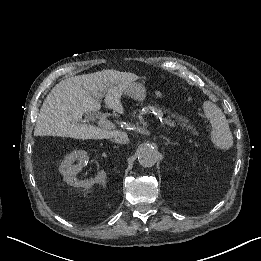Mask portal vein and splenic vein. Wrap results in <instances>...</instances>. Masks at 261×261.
I'll return each instance as SVG.
<instances>
[{"instance_id": "18ae733b", "label": "portal vein and splenic vein", "mask_w": 261, "mask_h": 261, "mask_svg": "<svg viewBox=\"0 0 261 261\" xmlns=\"http://www.w3.org/2000/svg\"><path fill=\"white\" fill-rule=\"evenodd\" d=\"M158 118L160 120H162L164 123H166L169 127H171L173 130H176L178 128V125L176 123L173 122V120L169 117V116H165L163 113H160L158 115ZM101 125H105L106 123H108V125L106 126H103L105 128H111L113 127L114 125L109 122V121H106V120H100L99 122Z\"/></svg>"}]
</instances>
